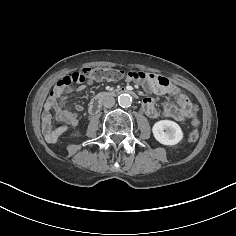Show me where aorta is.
Segmentation results:
<instances>
[{
  "label": "aorta",
  "mask_w": 236,
  "mask_h": 236,
  "mask_svg": "<svg viewBox=\"0 0 236 236\" xmlns=\"http://www.w3.org/2000/svg\"><path fill=\"white\" fill-rule=\"evenodd\" d=\"M118 103L121 107H130L132 104V97L129 94H121L118 97Z\"/></svg>",
  "instance_id": "1"
}]
</instances>
